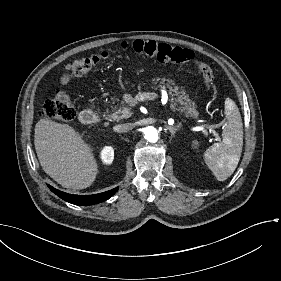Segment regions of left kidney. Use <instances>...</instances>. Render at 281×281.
<instances>
[{"label":"left kidney","instance_id":"left-kidney-1","mask_svg":"<svg viewBox=\"0 0 281 281\" xmlns=\"http://www.w3.org/2000/svg\"><path fill=\"white\" fill-rule=\"evenodd\" d=\"M193 144H194V147H196V146H197V142H194Z\"/></svg>","mask_w":281,"mask_h":281}]
</instances>
